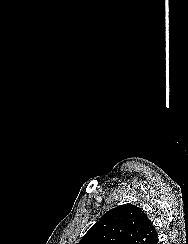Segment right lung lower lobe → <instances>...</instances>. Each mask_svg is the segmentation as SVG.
<instances>
[{
	"label": "right lung lower lobe",
	"instance_id": "right-lung-lower-lobe-1",
	"mask_svg": "<svg viewBox=\"0 0 188 244\" xmlns=\"http://www.w3.org/2000/svg\"><path fill=\"white\" fill-rule=\"evenodd\" d=\"M150 244H158V237H156L153 241H151Z\"/></svg>",
	"mask_w": 188,
	"mask_h": 244
}]
</instances>
